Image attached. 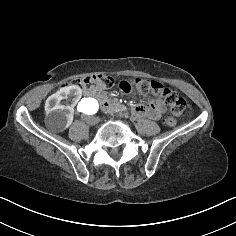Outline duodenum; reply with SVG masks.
<instances>
[{"mask_svg": "<svg viewBox=\"0 0 236 236\" xmlns=\"http://www.w3.org/2000/svg\"><path fill=\"white\" fill-rule=\"evenodd\" d=\"M85 95L90 98L96 99L102 111L108 114L124 115L130 111V109L124 104L111 101L107 96H105L101 92L95 90H87L85 91Z\"/></svg>", "mask_w": 236, "mask_h": 236, "instance_id": "410a0bca", "label": "duodenum"}]
</instances>
